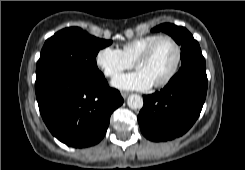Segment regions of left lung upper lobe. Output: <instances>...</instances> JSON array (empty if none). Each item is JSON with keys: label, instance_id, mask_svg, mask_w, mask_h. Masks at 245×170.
Wrapping results in <instances>:
<instances>
[{"label": "left lung upper lobe", "instance_id": "left-lung-upper-lobe-1", "mask_svg": "<svg viewBox=\"0 0 245 170\" xmlns=\"http://www.w3.org/2000/svg\"><path fill=\"white\" fill-rule=\"evenodd\" d=\"M152 31L165 32L181 45V68L192 67L206 69L205 59L201 53L200 46L186 28L164 23L156 26Z\"/></svg>", "mask_w": 245, "mask_h": 170}]
</instances>
